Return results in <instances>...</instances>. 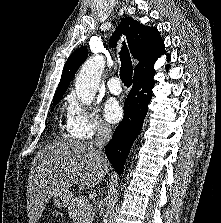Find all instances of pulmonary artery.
<instances>
[{"mask_svg": "<svg viewBox=\"0 0 221 223\" xmlns=\"http://www.w3.org/2000/svg\"><path fill=\"white\" fill-rule=\"evenodd\" d=\"M107 87L113 94H120L122 91V87L120 85V79L116 76H113L108 79Z\"/></svg>", "mask_w": 221, "mask_h": 223, "instance_id": "e3ab8cb5", "label": "pulmonary artery"}]
</instances>
